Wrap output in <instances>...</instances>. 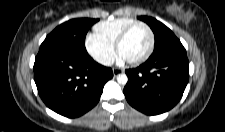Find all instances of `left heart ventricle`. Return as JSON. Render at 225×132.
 I'll return each mask as SVG.
<instances>
[{
    "label": "left heart ventricle",
    "mask_w": 225,
    "mask_h": 132,
    "mask_svg": "<svg viewBox=\"0 0 225 132\" xmlns=\"http://www.w3.org/2000/svg\"><path fill=\"white\" fill-rule=\"evenodd\" d=\"M149 42L147 30L142 26L136 27L121 45L120 55L126 60L137 59L147 51Z\"/></svg>",
    "instance_id": "left-heart-ventricle-1"
}]
</instances>
